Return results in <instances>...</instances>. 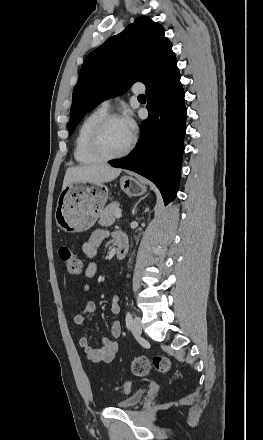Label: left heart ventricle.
<instances>
[{
    "mask_svg": "<svg viewBox=\"0 0 263 440\" xmlns=\"http://www.w3.org/2000/svg\"><path fill=\"white\" fill-rule=\"evenodd\" d=\"M130 137L131 133L122 120L113 121L103 131L102 144L108 153H117L128 144Z\"/></svg>",
    "mask_w": 263,
    "mask_h": 440,
    "instance_id": "obj_1",
    "label": "left heart ventricle"
}]
</instances>
